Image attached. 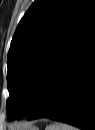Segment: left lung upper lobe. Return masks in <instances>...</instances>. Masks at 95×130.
<instances>
[{
  "mask_svg": "<svg viewBox=\"0 0 95 130\" xmlns=\"http://www.w3.org/2000/svg\"><path fill=\"white\" fill-rule=\"evenodd\" d=\"M95 15L91 0H36L21 19L8 52L9 120L37 102L50 72Z\"/></svg>",
  "mask_w": 95,
  "mask_h": 130,
  "instance_id": "left-lung-upper-lobe-1",
  "label": "left lung upper lobe"
}]
</instances>
